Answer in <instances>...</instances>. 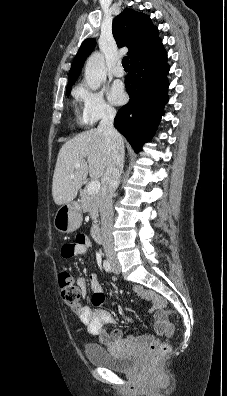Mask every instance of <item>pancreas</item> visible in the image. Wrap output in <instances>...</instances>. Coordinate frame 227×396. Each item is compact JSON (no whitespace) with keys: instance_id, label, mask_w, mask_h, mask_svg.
I'll list each match as a JSON object with an SVG mask.
<instances>
[{"instance_id":"pancreas-1","label":"pancreas","mask_w":227,"mask_h":396,"mask_svg":"<svg viewBox=\"0 0 227 396\" xmlns=\"http://www.w3.org/2000/svg\"><path fill=\"white\" fill-rule=\"evenodd\" d=\"M100 192L90 194L87 188L81 191V208L83 212H88L93 223L98 222V210L100 206Z\"/></svg>"}]
</instances>
